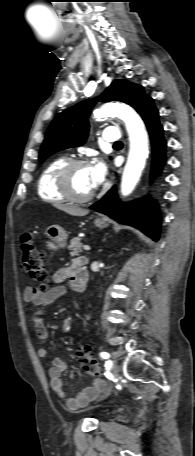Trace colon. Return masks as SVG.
<instances>
[{
    "label": "colon",
    "instance_id": "1",
    "mask_svg": "<svg viewBox=\"0 0 195 456\" xmlns=\"http://www.w3.org/2000/svg\"><path fill=\"white\" fill-rule=\"evenodd\" d=\"M22 262L27 269L29 275L35 281L42 284L44 289L47 282L46 261L43 254L36 247L31 235L26 234L21 241ZM79 361L80 369L90 375L98 376L100 374V366L91 354V349L88 345L81 346L76 352Z\"/></svg>",
    "mask_w": 195,
    "mask_h": 456
}]
</instances>
